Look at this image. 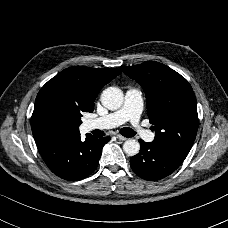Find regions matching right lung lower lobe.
<instances>
[{"instance_id":"1","label":"right lung lower lobe","mask_w":228,"mask_h":228,"mask_svg":"<svg viewBox=\"0 0 228 228\" xmlns=\"http://www.w3.org/2000/svg\"><path fill=\"white\" fill-rule=\"evenodd\" d=\"M109 137L88 136L81 141L80 133L57 137L37 144L40 155L57 176L77 181L89 176L98 166L103 146Z\"/></svg>"}]
</instances>
